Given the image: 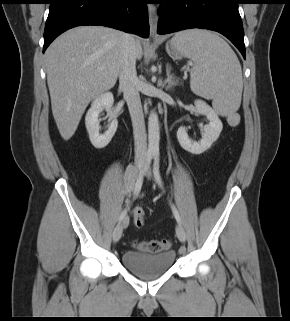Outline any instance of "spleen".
<instances>
[{"mask_svg": "<svg viewBox=\"0 0 290 321\" xmlns=\"http://www.w3.org/2000/svg\"><path fill=\"white\" fill-rule=\"evenodd\" d=\"M172 41L193 61L190 87L193 93L212 99L214 110L227 116L241 104L243 81L240 62L231 47L206 30L178 32Z\"/></svg>", "mask_w": 290, "mask_h": 321, "instance_id": "3e777b00", "label": "spleen"}]
</instances>
